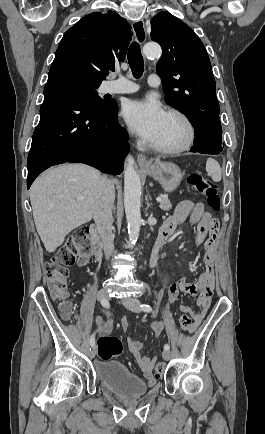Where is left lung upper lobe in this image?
<instances>
[{
  "instance_id": "left-lung-upper-lobe-1",
  "label": "left lung upper lobe",
  "mask_w": 265,
  "mask_h": 434,
  "mask_svg": "<svg viewBox=\"0 0 265 434\" xmlns=\"http://www.w3.org/2000/svg\"><path fill=\"white\" fill-rule=\"evenodd\" d=\"M151 28V39L163 51L156 69L166 103L188 117L195 135L222 141L216 83L204 44L188 25L167 11L152 18Z\"/></svg>"
}]
</instances>
